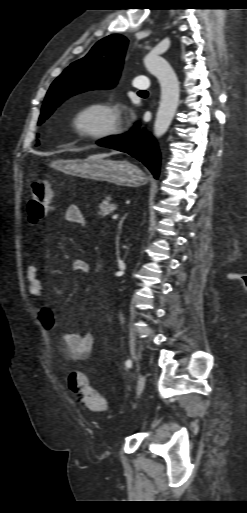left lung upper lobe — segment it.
Instances as JSON below:
<instances>
[{"label":"left lung upper lobe","instance_id":"obj_1","mask_svg":"<svg viewBox=\"0 0 247 513\" xmlns=\"http://www.w3.org/2000/svg\"><path fill=\"white\" fill-rule=\"evenodd\" d=\"M128 39L119 34L98 41L82 59L72 63L51 84L38 125L68 97L93 89L112 88L120 76Z\"/></svg>","mask_w":247,"mask_h":513}]
</instances>
